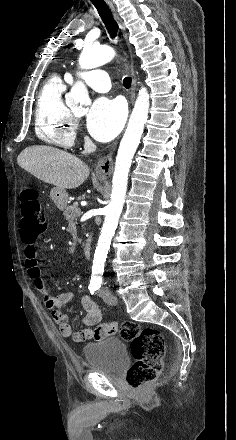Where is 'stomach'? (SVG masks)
Segmentation results:
<instances>
[{
  "label": "stomach",
  "mask_w": 236,
  "mask_h": 440,
  "mask_svg": "<svg viewBox=\"0 0 236 440\" xmlns=\"http://www.w3.org/2000/svg\"><path fill=\"white\" fill-rule=\"evenodd\" d=\"M98 179L103 180V179H105V177L98 176ZM50 197L59 210L62 211L66 208V206L68 204L69 197H68V193L66 192L65 189H60V188H56V187L53 188L51 190Z\"/></svg>",
  "instance_id": "1"
}]
</instances>
